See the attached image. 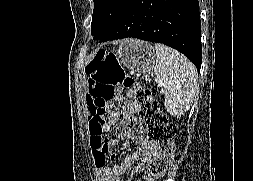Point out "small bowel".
Wrapping results in <instances>:
<instances>
[{"mask_svg":"<svg viewBox=\"0 0 253 181\" xmlns=\"http://www.w3.org/2000/svg\"><path fill=\"white\" fill-rule=\"evenodd\" d=\"M133 91H118L111 100L109 114L104 122L93 117L91 112L89 116L90 146L93 150V158L96 169L99 172V181H121V176L127 169L136 164L134 172L142 174L135 181H149L147 167L158 153L156 145L143 136L132 134L134 119L130 112H127L124 120L123 134L125 137H131L141 147L140 151L127 155L123 162L113 163L115 155L113 148L116 146L115 139H105L103 135L112 130L121 118V111L115 106L116 103L126 102V109L132 111L135 107L133 101ZM89 105V101H88Z\"/></svg>","mask_w":253,"mask_h":181,"instance_id":"c3829d8e","label":"small bowel"}]
</instances>
